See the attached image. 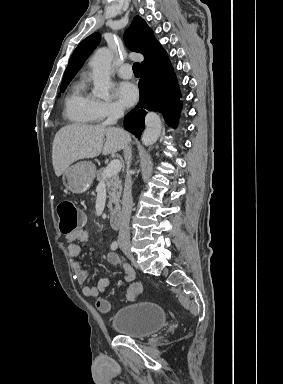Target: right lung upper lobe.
<instances>
[{"label": "right lung upper lobe", "mask_w": 283, "mask_h": 384, "mask_svg": "<svg viewBox=\"0 0 283 384\" xmlns=\"http://www.w3.org/2000/svg\"><path fill=\"white\" fill-rule=\"evenodd\" d=\"M100 34L94 33L84 39L74 50L65 70L62 83L70 82L100 42ZM125 40L130 50L144 55L141 72L153 71L169 63L167 53L155 39L153 31L139 16L135 17L125 33Z\"/></svg>", "instance_id": "right-lung-upper-lobe-1"}]
</instances>
